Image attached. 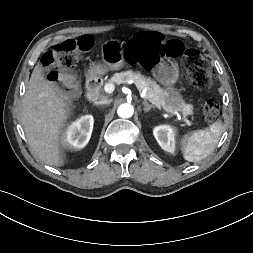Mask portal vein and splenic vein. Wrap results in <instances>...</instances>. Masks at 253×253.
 I'll return each mask as SVG.
<instances>
[{
  "instance_id": "portal-vein-and-splenic-vein-1",
  "label": "portal vein and splenic vein",
  "mask_w": 253,
  "mask_h": 253,
  "mask_svg": "<svg viewBox=\"0 0 253 253\" xmlns=\"http://www.w3.org/2000/svg\"><path fill=\"white\" fill-rule=\"evenodd\" d=\"M114 89H115V86H114L113 84H111V83H107V84H105V86H104V91H105L106 93H112V92L114 91ZM139 91H140V95H141L142 98L148 99L147 94H146V90H139ZM177 116L180 117V115H177ZM182 119H183L187 124H190L189 120L186 118L185 115L182 117Z\"/></svg>"
}]
</instances>
